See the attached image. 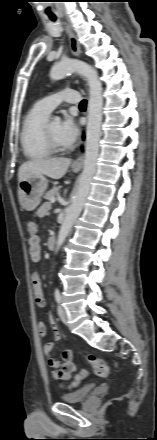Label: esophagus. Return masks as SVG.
I'll use <instances>...</instances> for the list:
<instances>
[{
  "label": "esophagus",
  "mask_w": 157,
  "mask_h": 440,
  "mask_svg": "<svg viewBox=\"0 0 157 440\" xmlns=\"http://www.w3.org/2000/svg\"><path fill=\"white\" fill-rule=\"evenodd\" d=\"M65 30H66L68 37H69L70 50H71L72 54L74 56H80L81 47H80V44H79L77 37L75 36L73 31L71 30V28L67 24L65 25ZM83 161H84V158L81 155L73 162L72 167L73 168H81L83 165Z\"/></svg>",
  "instance_id": "1"
}]
</instances>
